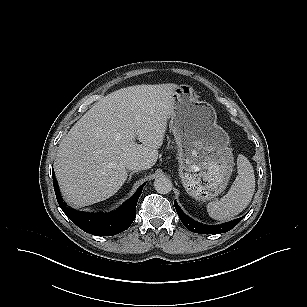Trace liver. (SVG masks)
Here are the masks:
<instances>
[{"instance_id":"liver-1","label":"liver","mask_w":307,"mask_h":307,"mask_svg":"<svg viewBox=\"0 0 307 307\" xmlns=\"http://www.w3.org/2000/svg\"><path fill=\"white\" fill-rule=\"evenodd\" d=\"M177 87L168 83L119 89L74 124L59 144L54 165L69 205L84 207L113 196L127 179L128 161H140L145 169L155 165Z\"/></svg>"}]
</instances>
